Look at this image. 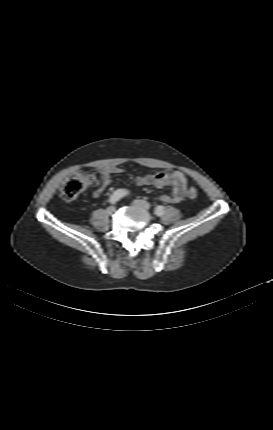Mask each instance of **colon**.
<instances>
[{
    "label": "colon",
    "mask_w": 273,
    "mask_h": 430,
    "mask_svg": "<svg viewBox=\"0 0 273 430\" xmlns=\"http://www.w3.org/2000/svg\"><path fill=\"white\" fill-rule=\"evenodd\" d=\"M94 181V176L88 172L80 171L70 176L60 191V196L65 201H71L77 198L84 192ZM187 195L189 198L194 199L198 196V190L191 187Z\"/></svg>",
    "instance_id": "5ec220e1"
}]
</instances>
